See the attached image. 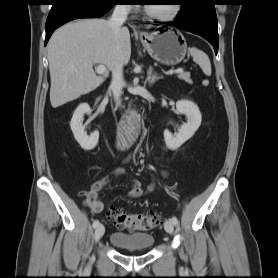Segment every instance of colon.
<instances>
[{"instance_id":"colon-1","label":"colon","mask_w":278,"mask_h":278,"mask_svg":"<svg viewBox=\"0 0 278 278\" xmlns=\"http://www.w3.org/2000/svg\"><path fill=\"white\" fill-rule=\"evenodd\" d=\"M107 214L117 227L127 230H151L158 227L161 221L160 217L153 213H130L114 206L108 208Z\"/></svg>"}]
</instances>
